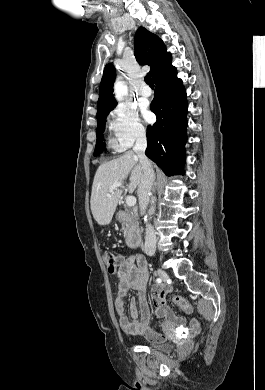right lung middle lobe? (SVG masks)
<instances>
[{"label":"right lung middle lobe","mask_w":265,"mask_h":390,"mask_svg":"<svg viewBox=\"0 0 265 390\" xmlns=\"http://www.w3.org/2000/svg\"><path fill=\"white\" fill-rule=\"evenodd\" d=\"M109 112L110 111L106 112L105 114L97 118V141H96L94 156L99 155L105 149V144L102 141H103V132L105 128L106 116L108 115Z\"/></svg>","instance_id":"1"}]
</instances>
